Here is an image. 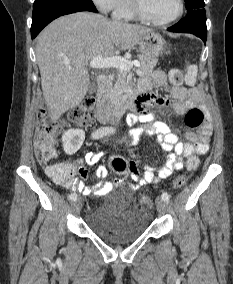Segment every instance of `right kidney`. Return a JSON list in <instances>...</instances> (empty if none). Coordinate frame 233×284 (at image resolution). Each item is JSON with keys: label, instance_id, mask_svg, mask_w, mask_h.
I'll return each instance as SVG.
<instances>
[{"label": "right kidney", "instance_id": "1", "mask_svg": "<svg viewBox=\"0 0 233 284\" xmlns=\"http://www.w3.org/2000/svg\"><path fill=\"white\" fill-rule=\"evenodd\" d=\"M85 139V133L81 129H70L62 136L63 149L66 154L76 153L82 146Z\"/></svg>", "mask_w": 233, "mask_h": 284}]
</instances>
